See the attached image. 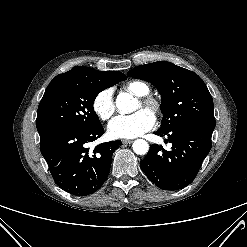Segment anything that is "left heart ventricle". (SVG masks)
I'll list each match as a JSON object with an SVG mask.
<instances>
[{
  "label": "left heart ventricle",
  "instance_id": "left-heart-ventricle-1",
  "mask_svg": "<svg viewBox=\"0 0 247 247\" xmlns=\"http://www.w3.org/2000/svg\"><path fill=\"white\" fill-rule=\"evenodd\" d=\"M140 108H142V106H141L140 103H138L136 109L138 110V109H140Z\"/></svg>",
  "mask_w": 247,
  "mask_h": 247
}]
</instances>
